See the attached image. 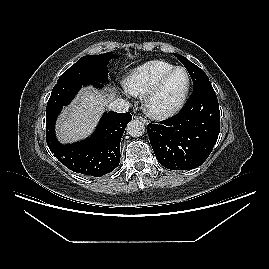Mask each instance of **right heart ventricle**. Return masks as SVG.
<instances>
[{
	"label": "right heart ventricle",
	"mask_w": 269,
	"mask_h": 269,
	"mask_svg": "<svg viewBox=\"0 0 269 269\" xmlns=\"http://www.w3.org/2000/svg\"><path fill=\"white\" fill-rule=\"evenodd\" d=\"M175 66L165 60L147 61L132 69L124 79L126 91L132 95L145 94L165 73Z\"/></svg>",
	"instance_id": "right-heart-ventricle-1"
}]
</instances>
